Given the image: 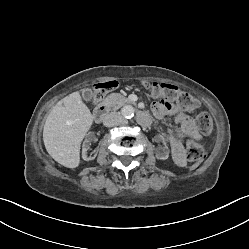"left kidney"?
Wrapping results in <instances>:
<instances>
[{
    "mask_svg": "<svg viewBox=\"0 0 249 249\" xmlns=\"http://www.w3.org/2000/svg\"><path fill=\"white\" fill-rule=\"evenodd\" d=\"M154 142L157 145L158 150L162 154V156H159V157L157 156V158L162 159V160H166L170 153L165 146L166 144H165L164 140L162 138L158 137L155 139Z\"/></svg>",
    "mask_w": 249,
    "mask_h": 249,
    "instance_id": "1",
    "label": "left kidney"
}]
</instances>
